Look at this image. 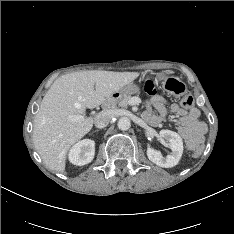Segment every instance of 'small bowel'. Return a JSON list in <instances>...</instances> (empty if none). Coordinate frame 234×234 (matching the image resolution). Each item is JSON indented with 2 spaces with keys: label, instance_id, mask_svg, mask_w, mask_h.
Wrapping results in <instances>:
<instances>
[{
  "label": "small bowel",
  "instance_id": "small-bowel-1",
  "mask_svg": "<svg viewBox=\"0 0 234 234\" xmlns=\"http://www.w3.org/2000/svg\"><path fill=\"white\" fill-rule=\"evenodd\" d=\"M152 108L157 113H154ZM168 111L175 116L179 126V134L186 141L189 148L203 141L207 126L199 120L200 111L195 107L186 110L177 104H172L168 108L163 97L154 95L148 101V108L144 112L143 118L147 123L156 127L167 117Z\"/></svg>",
  "mask_w": 234,
  "mask_h": 234
}]
</instances>
